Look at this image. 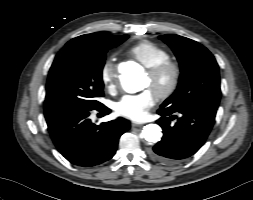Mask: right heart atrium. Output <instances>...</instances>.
Here are the masks:
<instances>
[{
  "instance_id": "right-heart-atrium-1",
  "label": "right heart atrium",
  "mask_w": 253,
  "mask_h": 200,
  "mask_svg": "<svg viewBox=\"0 0 253 200\" xmlns=\"http://www.w3.org/2000/svg\"><path fill=\"white\" fill-rule=\"evenodd\" d=\"M100 78L109 91H113L116 88L118 79L117 65L112 59H107L102 64Z\"/></svg>"
}]
</instances>
